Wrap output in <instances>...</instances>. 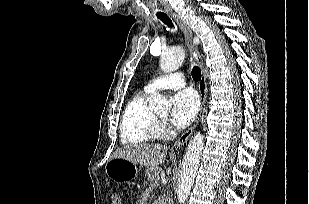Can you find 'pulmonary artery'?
I'll use <instances>...</instances> for the list:
<instances>
[{"label":"pulmonary artery","instance_id":"obj_1","mask_svg":"<svg viewBox=\"0 0 309 204\" xmlns=\"http://www.w3.org/2000/svg\"><path fill=\"white\" fill-rule=\"evenodd\" d=\"M185 86L184 78L180 74H170L160 76L151 80L146 86L145 91L154 93L164 89H180Z\"/></svg>","mask_w":309,"mask_h":204}]
</instances>
